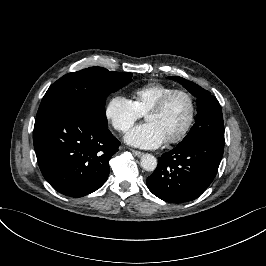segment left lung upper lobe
Listing matches in <instances>:
<instances>
[{"label": "left lung upper lobe", "instance_id": "left-lung-upper-lobe-1", "mask_svg": "<svg viewBox=\"0 0 266 266\" xmlns=\"http://www.w3.org/2000/svg\"><path fill=\"white\" fill-rule=\"evenodd\" d=\"M168 78L177 80L197 98L198 114L196 123L177 146H183L205 137L224 139L223 115L216 97L212 96L209 91L184 78L178 76Z\"/></svg>", "mask_w": 266, "mask_h": 266}]
</instances>
